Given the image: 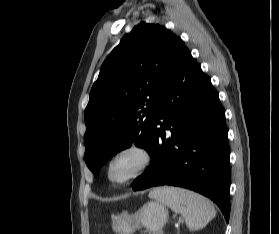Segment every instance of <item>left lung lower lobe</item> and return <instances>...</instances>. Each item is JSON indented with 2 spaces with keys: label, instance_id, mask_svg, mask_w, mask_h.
<instances>
[{
  "label": "left lung lower lobe",
  "instance_id": "obj_1",
  "mask_svg": "<svg viewBox=\"0 0 279 234\" xmlns=\"http://www.w3.org/2000/svg\"><path fill=\"white\" fill-rule=\"evenodd\" d=\"M150 155L151 166L135 179L134 191L158 185L191 189L213 200L229 221L225 112L210 78L185 46L160 93Z\"/></svg>",
  "mask_w": 279,
  "mask_h": 234
}]
</instances>
